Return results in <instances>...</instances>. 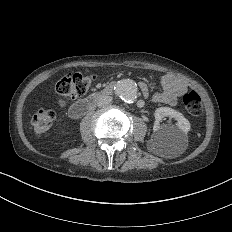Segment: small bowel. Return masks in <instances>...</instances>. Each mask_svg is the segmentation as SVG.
<instances>
[{
  "instance_id": "c3829d8e",
  "label": "small bowel",
  "mask_w": 232,
  "mask_h": 232,
  "mask_svg": "<svg viewBox=\"0 0 232 232\" xmlns=\"http://www.w3.org/2000/svg\"><path fill=\"white\" fill-rule=\"evenodd\" d=\"M162 92L154 95L155 102L176 103L180 96L187 90V84L182 79L173 75H165L159 81ZM140 93L143 96L149 94V85L147 82H141L139 85Z\"/></svg>"
}]
</instances>
